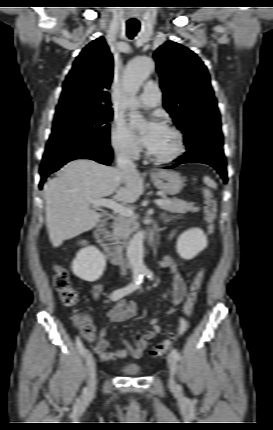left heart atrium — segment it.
<instances>
[{
  "mask_svg": "<svg viewBox=\"0 0 273 430\" xmlns=\"http://www.w3.org/2000/svg\"><path fill=\"white\" fill-rule=\"evenodd\" d=\"M132 126L134 129L139 127L136 123ZM164 129V126L158 120L151 119L143 125V130L139 135V140L145 147L152 150L157 144Z\"/></svg>",
  "mask_w": 273,
  "mask_h": 430,
  "instance_id": "39dd6f15",
  "label": "left heart atrium"
}]
</instances>
